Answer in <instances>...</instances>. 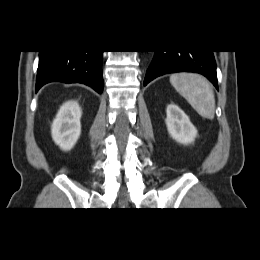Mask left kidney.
<instances>
[{
  "label": "left kidney",
  "mask_w": 260,
  "mask_h": 260,
  "mask_svg": "<svg viewBox=\"0 0 260 260\" xmlns=\"http://www.w3.org/2000/svg\"><path fill=\"white\" fill-rule=\"evenodd\" d=\"M166 126L170 136L181 144H190L197 136V129L189 117L177 105L170 104L166 109Z\"/></svg>",
  "instance_id": "obj_1"
}]
</instances>
